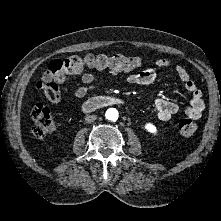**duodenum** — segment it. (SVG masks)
Segmentation results:
<instances>
[{"label": "duodenum", "instance_id": "obj_1", "mask_svg": "<svg viewBox=\"0 0 221 221\" xmlns=\"http://www.w3.org/2000/svg\"><path fill=\"white\" fill-rule=\"evenodd\" d=\"M124 104V100L115 96H99L88 99L84 103V109L87 112L106 107L108 105H121Z\"/></svg>", "mask_w": 221, "mask_h": 221}]
</instances>
